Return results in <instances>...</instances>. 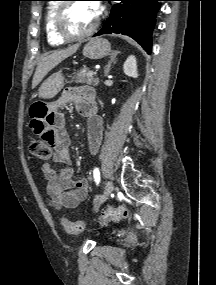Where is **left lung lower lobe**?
Instances as JSON below:
<instances>
[{"label": "left lung lower lobe", "mask_w": 216, "mask_h": 285, "mask_svg": "<svg viewBox=\"0 0 216 285\" xmlns=\"http://www.w3.org/2000/svg\"><path fill=\"white\" fill-rule=\"evenodd\" d=\"M121 1L111 8L109 18L94 36L121 33L135 39L148 54L152 48V30L159 1L164 0H107Z\"/></svg>", "instance_id": "0a47b994"}]
</instances>
